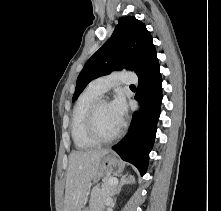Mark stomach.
<instances>
[{"instance_id": "0dacf381", "label": "stomach", "mask_w": 221, "mask_h": 211, "mask_svg": "<svg viewBox=\"0 0 221 211\" xmlns=\"http://www.w3.org/2000/svg\"><path fill=\"white\" fill-rule=\"evenodd\" d=\"M124 170V164L118 160L114 155H105L99 164L97 175L98 177L108 176V175H119ZM88 207H83L81 211H89Z\"/></svg>"}]
</instances>
